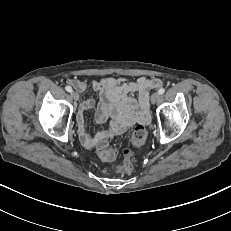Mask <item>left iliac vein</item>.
I'll return each mask as SVG.
<instances>
[{
	"mask_svg": "<svg viewBox=\"0 0 231 231\" xmlns=\"http://www.w3.org/2000/svg\"><path fill=\"white\" fill-rule=\"evenodd\" d=\"M160 98V94L155 92L151 95V103L155 104Z\"/></svg>",
	"mask_w": 231,
	"mask_h": 231,
	"instance_id": "left-iliac-vein-1",
	"label": "left iliac vein"
}]
</instances>
